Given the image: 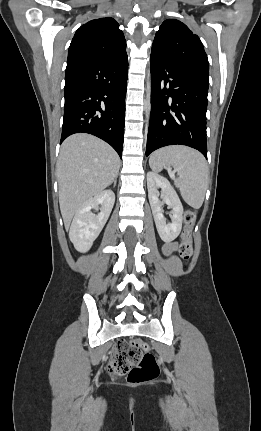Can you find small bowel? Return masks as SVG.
<instances>
[{"instance_id": "small-bowel-1", "label": "small bowel", "mask_w": 261, "mask_h": 431, "mask_svg": "<svg viewBox=\"0 0 261 431\" xmlns=\"http://www.w3.org/2000/svg\"><path fill=\"white\" fill-rule=\"evenodd\" d=\"M176 247H177V243L176 242L166 243L163 246V252H164L165 255L169 256V255H171L176 250Z\"/></svg>"}]
</instances>
